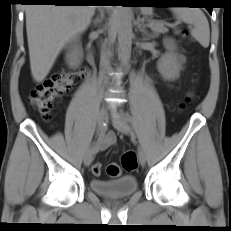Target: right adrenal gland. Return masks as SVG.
<instances>
[{"label": "right adrenal gland", "mask_w": 231, "mask_h": 231, "mask_svg": "<svg viewBox=\"0 0 231 231\" xmlns=\"http://www.w3.org/2000/svg\"><path fill=\"white\" fill-rule=\"evenodd\" d=\"M104 18V13L103 11L100 10V18L99 17H96L95 20H93V26H97Z\"/></svg>", "instance_id": "obj_1"}]
</instances>
